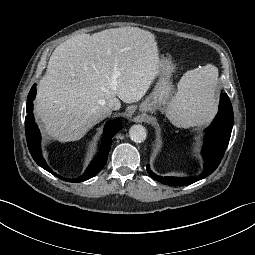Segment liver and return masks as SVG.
I'll return each mask as SVG.
<instances>
[{"instance_id":"obj_1","label":"liver","mask_w":255,"mask_h":255,"mask_svg":"<svg viewBox=\"0 0 255 255\" xmlns=\"http://www.w3.org/2000/svg\"><path fill=\"white\" fill-rule=\"evenodd\" d=\"M154 34L137 27L80 34L56 47L40 80L35 111L45 132L63 142L81 139L111 115L107 101H139L158 74Z\"/></svg>"}]
</instances>
